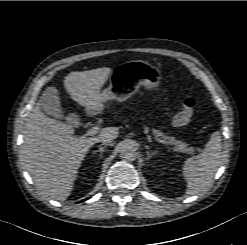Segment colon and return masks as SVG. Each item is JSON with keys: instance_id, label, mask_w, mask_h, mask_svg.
<instances>
[{"instance_id": "obj_1", "label": "colon", "mask_w": 247, "mask_h": 245, "mask_svg": "<svg viewBox=\"0 0 247 245\" xmlns=\"http://www.w3.org/2000/svg\"><path fill=\"white\" fill-rule=\"evenodd\" d=\"M194 109V99L189 96L184 97L181 102V110L173 117V125L176 127L187 125L193 116Z\"/></svg>"}]
</instances>
